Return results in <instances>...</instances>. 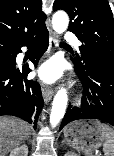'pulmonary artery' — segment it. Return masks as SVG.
<instances>
[{
    "instance_id": "e3ab8cb5",
    "label": "pulmonary artery",
    "mask_w": 114,
    "mask_h": 156,
    "mask_svg": "<svg viewBox=\"0 0 114 156\" xmlns=\"http://www.w3.org/2000/svg\"><path fill=\"white\" fill-rule=\"evenodd\" d=\"M65 38L67 41L71 42L72 44H74L76 47H78L80 45V42L79 40L75 37L74 34L68 32L66 35H65Z\"/></svg>"
}]
</instances>
